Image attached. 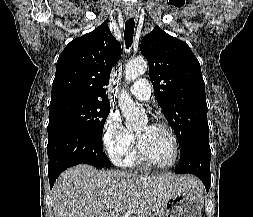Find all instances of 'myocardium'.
Instances as JSON below:
<instances>
[{"instance_id":"f54148a6","label":"myocardium","mask_w":253,"mask_h":217,"mask_svg":"<svg viewBox=\"0 0 253 217\" xmlns=\"http://www.w3.org/2000/svg\"><path fill=\"white\" fill-rule=\"evenodd\" d=\"M151 125L158 127V128L165 129L169 133V135L172 139V142H173V149H174L173 157H172L171 161L165 165H159V164L152 162L145 154V152L142 148V145H141V141H140L138 135L136 134V149L135 150H136L137 157L141 163H143L144 165H146L150 168H153L156 170H161V171L168 170V169L172 168L177 163L178 158H179L180 144H179L177 134L174 131V129L169 124H167L165 122H160V121L154 122Z\"/></svg>"}]
</instances>
